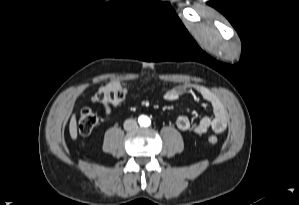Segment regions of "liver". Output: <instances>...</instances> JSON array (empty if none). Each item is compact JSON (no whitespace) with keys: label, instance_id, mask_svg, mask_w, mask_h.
<instances>
[{"label":"liver","instance_id":"1","mask_svg":"<svg viewBox=\"0 0 299 205\" xmlns=\"http://www.w3.org/2000/svg\"><path fill=\"white\" fill-rule=\"evenodd\" d=\"M70 136L73 140L77 139V122L75 114L72 115L70 124H69Z\"/></svg>","mask_w":299,"mask_h":205}]
</instances>
